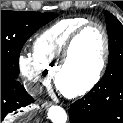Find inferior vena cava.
Returning <instances> with one entry per match:
<instances>
[{"mask_svg": "<svg viewBox=\"0 0 123 123\" xmlns=\"http://www.w3.org/2000/svg\"><path fill=\"white\" fill-rule=\"evenodd\" d=\"M26 91L31 95V96H36L37 94L41 93L42 87L37 84L33 83L32 81H27L24 83Z\"/></svg>", "mask_w": 123, "mask_h": 123, "instance_id": "1", "label": "inferior vena cava"}]
</instances>
